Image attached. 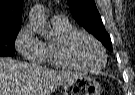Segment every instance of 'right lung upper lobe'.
Masks as SVG:
<instances>
[{"label":"right lung upper lobe","instance_id":"obj_1","mask_svg":"<svg viewBox=\"0 0 135 95\" xmlns=\"http://www.w3.org/2000/svg\"><path fill=\"white\" fill-rule=\"evenodd\" d=\"M23 0H0V34L19 31Z\"/></svg>","mask_w":135,"mask_h":95}]
</instances>
